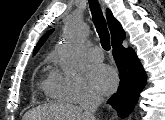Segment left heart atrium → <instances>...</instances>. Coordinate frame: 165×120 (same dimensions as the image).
<instances>
[{"label":"left heart atrium","instance_id":"obj_1","mask_svg":"<svg viewBox=\"0 0 165 120\" xmlns=\"http://www.w3.org/2000/svg\"><path fill=\"white\" fill-rule=\"evenodd\" d=\"M88 77L93 88L101 94L111 93L118 83V76L115 70L105 64L91 67Z\"/></svg>","mask_w":165,"mask_h":120}]
</instances>
